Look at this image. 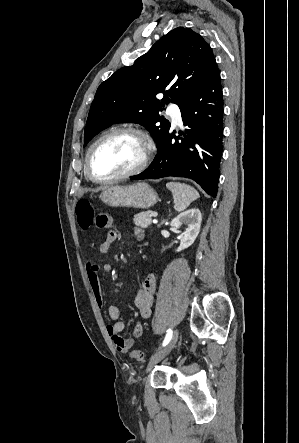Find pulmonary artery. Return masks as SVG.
I'll use <instances>...</instances> for the list:
<instances>
[{"label":"pulmonary artery","instance_id":"1","mask_svg":"<svg viewBox=\"0 0 299 443\" xmlns=\"http://www.w3.org/2000/svg\"><path fill=\"white\" fill-rule=\"evenodd\" d=\"M167 114L171 117L172 121L176 124H180L181 119V113L179 110V107L175 104H171L167 108Z\"/></svg>","mask_w":299,"mask_h":443}]
</instances>
